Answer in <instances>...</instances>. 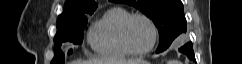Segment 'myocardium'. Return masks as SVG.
I'll return each instance as SVG.
<instances>
[{
	"label": "myocardium",
	"mask_w": 242,
	"mask_h": 64,
	"mask_svg": "<svg viewBox=\"0 0 242 64\" xmlns=\"http://www.w3.org/2000/svg\"><path fill=\"white\" fill-rule=\"evenodd\" d=\"M135 18H142L144 19L149 26L151 27L152 30V34H153V40L152 43L150 45V47H148L145 50H135L128 39V28L129 25L131 23V21ZM120 39L121 42L124 46V48L131 54V55H136V56H143V55H147L150 52H152L157 44L158 41V29L156 24L154 23V21L146 14L143 13H130L123 21L122 25H121V29H120Z\"/></svg>",
	"instance_id": "obj_1"
}]
</instances>
